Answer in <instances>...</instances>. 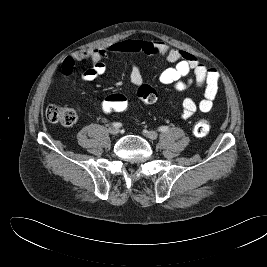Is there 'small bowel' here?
<instances>
[{
	"label": "small bowel",
	"instance_id": "obj_1",
	"mask_svg": "<svg viewBox=\"0 0 267 267\" xmlns=\"http://www.w3.org/2000/svg\"><path fill=\"white\" fill-rule=\"evenodd\" d=\"M112 54L159 55L175 63L173 67L159 74L158 79L162 84L169 85L178 92H183L192 85L204 91L199 102L189 97L183 100L181 118L187 120L197 111L207 113L212 110L219 87L218 71L213 67L205 66L194 55L172 48L160 40L125 39L106 47L77 51L61 62L60 72L64 77H69L77 61L88 60L91 66L82 72L81 79L88 82L94 81L106 72L107 67L103 59ZM189 75L192 77L187 78ZM130 81L137 86L143 83V75L138 65L133 66Z\"/></svg>",
	"mask_w": 267,
	"mask_h": 267
}]
</instances>
